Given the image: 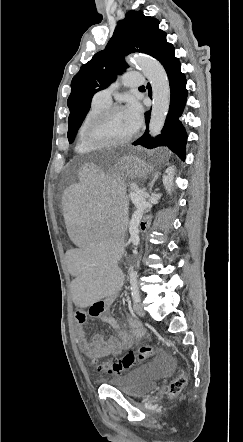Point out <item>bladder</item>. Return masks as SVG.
I'll return each instance as SVG.
<instances>
[{
	"instance_id": "31cf9c89",
	"label": "bladder",
	"mask_w": 243,
	"mask_h": 442,
	"mask_svg": "<svg viewBox=\"0 0 243 442\" xmlns=\"http://www.w3.org/2000/svg\"><path fill=\"white\" fill-rule=\"evenodd\" d=\"M173 367L172 360L167 356L158 355L154 360L134 368L125 375L105 381L124 395L138 398L152 391L158 380L167 376Z\"/></svg>"
}]
</instances>
